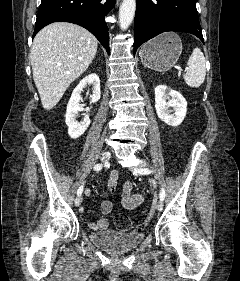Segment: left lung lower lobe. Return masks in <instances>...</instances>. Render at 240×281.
Here are the masks:
<instances>
[{
    "label": "left lung lower lobe",
    "mask_w": 240,
    "mask_h": 281,
    "mask_svg": "<svg viewBox=\"0 0 240 281\" xmlns=\"http://www.w3.org/2000/svg\"><path fill=\"white\" fill-rule=\"evenodd\" d=\"M167 31L191 33L204 42L196 0H137L134 54L141 44Z\"/></svg>",
    "instance_id": "left-lung-lower-lobe-1"
}]
</instances>
